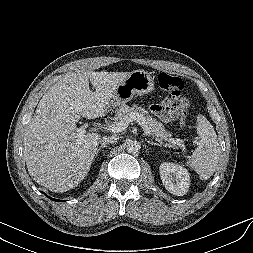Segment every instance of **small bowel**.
Here are the masks:
<instances>
[{
  "mask_svg": "<svg viewBox=\"0 0 253 253\" xmlns=\"http://www.w3.org/2000/svg\"><path fill=\"white\" fill-rule=\"evenodd\" d=\"M174 101V98L168 97L163 102L152 105L151 111L162 121L169 122L178 117V115L181 113L180 108L174 105Z\"/></svg>",
  "mask_w": 253,
  "mask_h": 253,
  "instance_id": "1",
  "label": "small bowel"
}]
</instances>
